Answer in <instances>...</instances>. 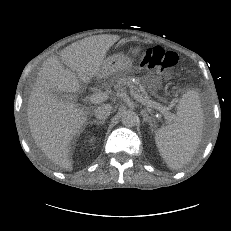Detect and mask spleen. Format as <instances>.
<instances>
[{"mask_svg": "<svg viewBox=\"0 0 231 231\" xmlns=\"http://www.w3.org/2000/svg\"><path fill=\"white\" fill-rule=\"evenodd\" d=\"M203 111L196 92L181 98L177 116L156 131L155 142L167 166L180 169L190 162L201 142Z\"/></svg>", "mask_w": 231, "mask_h": 231, "instance_id": "spleen-1", "label": "spleen"}]
</instances>
